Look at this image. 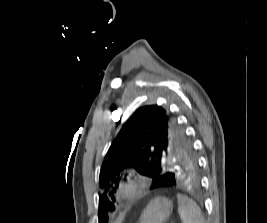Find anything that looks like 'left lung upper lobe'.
I'll list each match as a JSON object with an SVG mask.
<instances>
[{"label":"left lung upper lobe","instance_id":"5c2ea615","mask_svg":"<svg viewBox=\"0 0 267 223\" xmlns=\"http://www.w3.org/2000/svg\"><path fill=\"white\" fill-rule=\"evenodd\" d=\"M151 177L168 171H198L191 142L172 113L157 105L141 107L126 121L112 142L100 171L99 223L115 207L110 198L127 170Z\"/></svg>","mask_w":267,"mask_h":223}]
</instances>
